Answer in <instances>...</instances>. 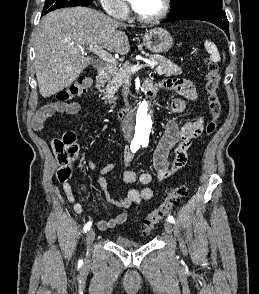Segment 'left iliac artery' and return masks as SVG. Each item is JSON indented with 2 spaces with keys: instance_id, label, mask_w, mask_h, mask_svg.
<instances>
[{
  "instance_id": "obj_1",
  "label": "left iliac artery",
  "mask_w": 259,
  "mask_h": 294,
  "mask_svg": "<svg viewBox=\"0 0 259 294\" xmlns=\"http://www.w3.org/2000/svg\"><path fill=\"white\" fill-rule=\"evenodd\" d=\"M142 146H143V147H146V146H147V142H143V143H142ZM168 221H169L170 223H175V220H174L173 216H171V215L168 216Z\"/></svg>"
}]
</instances>
